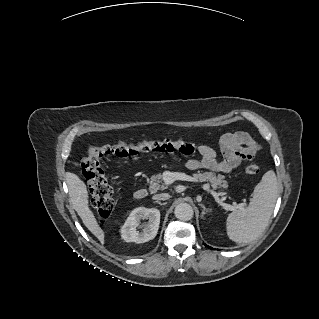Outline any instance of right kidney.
Here are the masks:
<instances>
[{"instance_id":"obj_1","label":"right kidney","mask_w":319,"mask_h":319,"mask_svg":"<svg viewBox=\"0 0 319 319\" xmlns=\"http://www.w3.org/2000/svg\"><path fill=\"white\" fill-rule=\"evenodd\" d=\"M148 219L141 224V220ZM160 224V212L156 208H135L121 227V237L127 242L144 243L155 238ZM141 228L138 231L136 228Z\"/></svg>"}]
</instances>
